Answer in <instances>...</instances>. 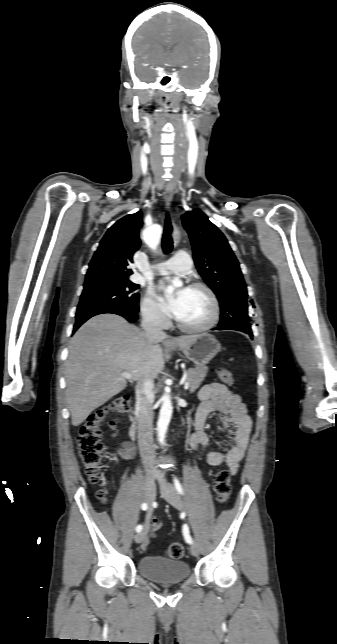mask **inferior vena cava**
I'll list each match as a JSON object with an SVG mask.
<instances>
[{
	"label": "inferior vena cava",
	"mask_w": 337,
	"mask_h": 644,
	"mask_svg": "<svg viewBox=\"0 0 337 644\" xmlns=\"http://www.w3.org/2000/svg\"><path fill=\"white\" fill-rule=\"evenodd\" d=\"M158 314L147 312L144 314L141 327L148 339L154 340L165 338L158 323ZM153 378H146L136 385V413L138 420V445L147 474H159L160 471L154 466V444H153Z\"/></svg>",
	"instance_id": "1"
}]
</instances>
